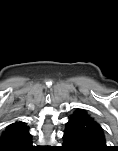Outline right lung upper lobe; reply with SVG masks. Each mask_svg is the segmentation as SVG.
Returning a JSON list of instances; mask_svg holds the SVG:
<instances>
[{
    "label": "right lung upper lobe",
    "mask_w": 118,
    "mask_h": 151,
    "mask_svg": "<svg viewBox=\"0 0 118 151\" xmlns=\"http://www.w3.org/2000/svg\"><path fill=\"white\" fill-rule=\"evenodd\" d=\"M28 126L16 121L6 127L0 137V151H15L31 141Z\"/></svg>",
    "instance_id": "obj_1"
}]
</instances>
